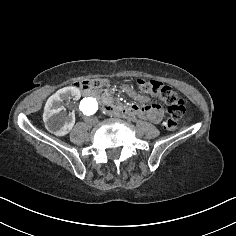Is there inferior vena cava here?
<instances>
[{"label": "inferior vena cava", "instance_id": "inferior-vena-cava-1", "mask_svg": "<svg viewBox=\"0 0 236 236\" xmlns=\"http://www.w3.org/2000/svg\"><path fill=\"white\" fill-rule=\"evenodd\" d=\"M99 118L96 116V117H85L84 118V121L88 124H92L93 126H96L98 123H99Z\"/></svg>", "mask_w": 236, "mask_h": 236}]
</instances>
